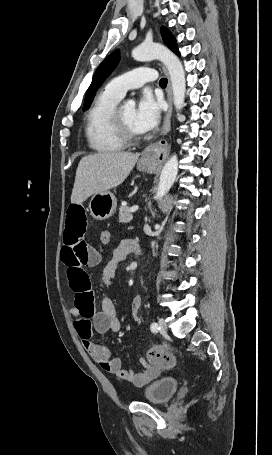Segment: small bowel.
<instances>
[{"label":"small bowel","instance_id":"c3829d8e","mask_svg":"<svg viewBox=\"0 0 272 455\" xmlns=\"http://www.w3.org/2000/svg\"><path fill=\"white\" fill-rule=\"evenodd\" d=\"M87 218L83 208L71 205L68 209L63 234L61 261L66 266L70 289L74 294V304L70 314L74 317V328L82 340L88 354L105 371L118 379L137 386L148 383L160 373L157 365H148L141 359L143 369L139 372L124 369L122 361L115 356L104 341H95L92 337L94 328L99 334L117 333L122 324L116 314V308L109 297H104L100 310H95L94 294L91 288L88 268L97 265L101 256L97 249L85 241ZM135 240H122L113 250L112 259L106 264L102 273V282L106 287L112 285L118 264L129 253L133 252ZM142 306V297L137 295L131 303L133 317L138 320V312Z\"/></svg>","mask_w":272,"mask_h":455}]
</instances>
